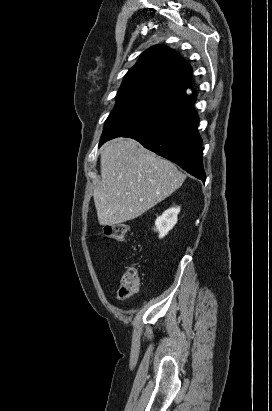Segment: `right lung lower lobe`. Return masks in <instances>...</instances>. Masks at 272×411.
I'll return each instance as SVG.
<instances>
[{
    "mask_svg": "<svg viewBox=\"0 0 272 411\" xmlns=\"http://www.w3.org/2000/svg\"><path fill=\"white\" fill-rule=\"evenodd\" d=\"M192 105L184 106L124 137L136 139L145 148L175 162L204 183L202 139L197 130L199 120ZM112 138L115 137H101L100 145Z\"/></svg>",
    "mask_w": 272,
    "mask_h": 411,
    "instance_id": "98d812e1",
    "label": "right lung lower lobe"
}]
</instances>
